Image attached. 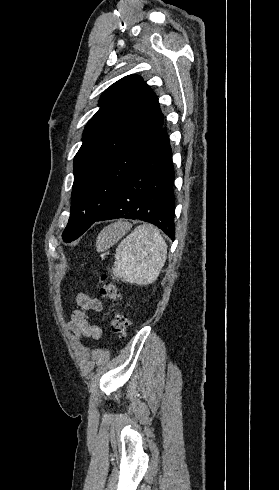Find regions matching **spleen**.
<instances>
[{
	"label": "spleen",
	"instance_id": "spleen-1",
	"mask_svg": "<svg viewBox=\"0 0 279 490\" xmlns=\"http://www.w3.org/2000/svg\"><path fill=\"white\" fill-rule=\"evenodd\" d=\"M130 228L128 222H115L106 226L97 238V252L109 250ZM115 258L113 280L148 286L157 280L166 262L167 244L158 228L152 224H142L122 240Z\"/></svg>",
	"mask_w": 279,
	"mask_h": 490
}]
</instances>
